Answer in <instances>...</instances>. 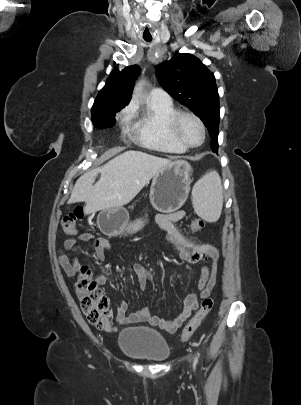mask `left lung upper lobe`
<instances>
[{"mask_svg":"<svg viewBox=\"0 0 301 405\" xmlns=\"http://www.w3.org/2000/svg\"><path fill=\"white\" fill-rule=\"evenodd\" d=\"M162 88L191 109L205 124L211 148L218 147L219 95L214 74L192 54L180 53L155 67Z\"/></svg>","mask_w":301,"mask_h":405,"instance_id":"left-lung-upper-lobe-1","label":"left lung upper lobe"}]
</instances>
